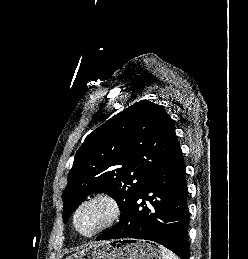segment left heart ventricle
Wrapping results in <instances>:
<instances>
[{
	"label": "left heart ventricle",
	"mask_w": 248,
	"mask_h": 259,
	"mask_svg": "<svg viewBox=\"0 0 248 259\" xmlns=\"http://www.w3.org/2000/svg\"><path fill=\"white\" fill-rule=\"evenodd\" d=\"M109 216L110 208L104 202L86 205L77 216L78 229L83 233H90L104 224Z\"/></svg>",
	"instance_id": "left-heart-ventricle-1"
}]
</instances>
